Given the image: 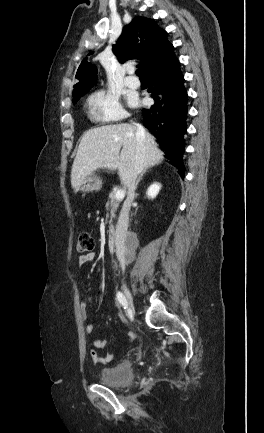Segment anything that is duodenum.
<instances>
[{"mask_svg": "<svg viewBox=\"0 0 264 433\" xmlns=\"http://www.w3.org/2000/svg\"><path fill=\"white\" fill-rule=\"evenodd\" d=\"M116 236H117V229L110 228L107 234V243L109 248L113 251L116 250Z\"/></svg>", "mask_w": 264, "mask_h": 433, "instance_id": "410a0bca", "label": "duodenum"}]
</instances>
